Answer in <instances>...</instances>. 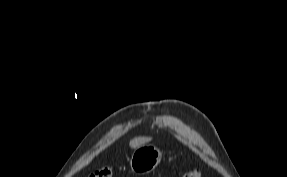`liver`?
Wrapping results in <instances>:
<instances>
[{
    "label": "liver",
    "instance_id": "liver-1",
    "mask_svg": "<svg viewBox=\"0 0 287 177\" xmlns=\"http://www.w3.org/2000/svg\"><path fill=\"white\" fill-rule=\"evenodd\" d=\"M151 141V138L148 137H137L130 141L129 145L131 148L136 149L137 147L144 145L145 143Z\"/></svg>",
    "mask_w": 287,
    "mask_h": 177
}]
</instances>
